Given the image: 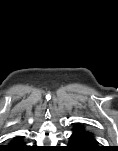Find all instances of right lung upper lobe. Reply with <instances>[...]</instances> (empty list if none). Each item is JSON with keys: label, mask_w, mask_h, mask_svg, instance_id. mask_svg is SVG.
Masks as SVG:
<instances>
[{"label": "right lung upper lobe", "mask_w": 118, "mask_h": 151, "mask_svg": "<svg viewBox=\"0 0 118 151\" xmlns=\"http://www.w3.org/2000/svg\"><path fill=\"white\" fill-rule=\"evenodd\" d=\"M20 140H22V138H20V137H15V138L13 139V141L11 142V145H10V146H15V143L19 142ZM6 147H9V146H2L1 149H2V150H5ZM9 148H13V147H9Z\"/></svg>", "instance_id": "1"}]
</instances>
